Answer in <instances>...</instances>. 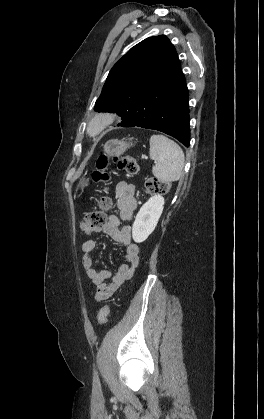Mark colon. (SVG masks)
<instances>
[{"instance_id": "colon-1", "label": "colon", "mask_w": 264, "mask_h": 419, "mask_svg": "<svg viewBox=\"0 0 264 419\" xmlns=\"http://www.w3.org/2000/svg\"><path fill=\"white\" fill-rule=\"evenodd\" d=\"M113 163L117 169L127 174H136L138 172V164L136 160L129 156H115ZM110 159L107 155H101L96 163V169L92 174L95 182L106 183L110 179L108 171ZM169 183L156 178H149L146 181V188L150 194H165L169 190ZM110 200L108 197H101L98 200V209L87 212L82 221L81 228L87 234H93L103 229L106 223V211L110 208ZM109 307L103 306L98 312V322L104 325L108 321Z\"/></svg>"}]
</instances>
